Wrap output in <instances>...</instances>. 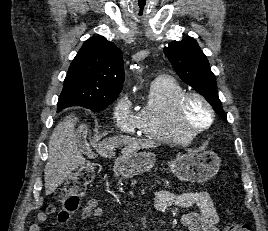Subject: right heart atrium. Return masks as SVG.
Listing matches in <instances>:
<instances>
[{
    "mask_svg": "<svg viewBox=\"0 0 268 231\" xmlns=\"http://www.w3.org/2000/svg\"><path fill=\"white\" fill-rule=\"evenodd\" d=\"M113 117L116 125L123 131L133 133L139 128L138 116L132 107L129 94H122L116 101L113 109Z\"/></svg>",
    "mask_w": 268,
    "mask_h": 231,
    "instance_id": "right-heart-atrium-1",
    "label": "right heart atrium"
}]
</instances>
